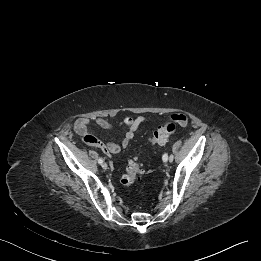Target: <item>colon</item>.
Listing matches in <instances>:
<instances>
[{"label": "colon", "instance_id": "1", "mask_svg": "<svg viewBox=\"0 0 261 261\" xmlns=\"http://www.w3.org/2000/svg\"><path fill=\"white\" fill-rule=\"evenodd\" d=\"M188 122L186 117L173 116L170 121L165 122L159 127L150 137V142L153 145H163L168 138L175 132L177 125H186ZM143 173L141 165L137 162H130L127 173L122 177L121 184L124 187L132 186L138 177Z\"/></svg>", "mask_w": 261, "mask_h": 261}]
</instances>
